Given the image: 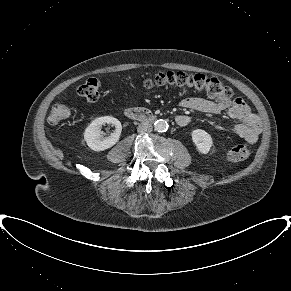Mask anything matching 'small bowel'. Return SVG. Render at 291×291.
Listing matches in <instances>:
<instances>
[{
    "label": "small bowel",
    "mask_w": 291,
    "mask_h": 291,
    "mask_svg": "<svg viewBox=\"0 0 291 291\" xmlns=\"http://www.w3.org/2000/svg\"><path fill=\"white\" fill-rule=\"evenodd\" d=\"M181 106L209 115H220L226 111L229 118L237 120L239 123L230 128L216 125L215 129L221 133L233 132L250 143L256 142L261 132L259 118L239 97L219 102H213L201 97H188L181 101ZM176 123L179 126H186L190 123V117L184 114L178 115Z\"/></svg>",
    "instance_id": "obj_1"
}]
</instances>
